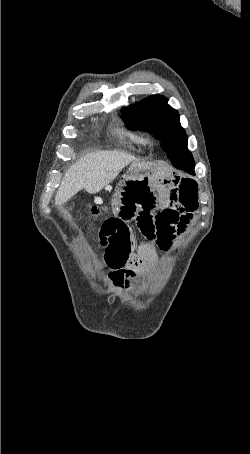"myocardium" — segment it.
<instances>
[{
    "label": "myocardium",
    "instance_id": "obj_1",
    "mask_svg": "<svg viewBox=\"0 0 250 454\" xmlns=\"http://www.w3.org/2000/svg\"><path fill=\"white\" fill-rule=\"evenodd\" d=\"M145 141H146V142H150V138L147 137V138L145 139Z\"/></svg>",
    "mask_w": 250,
    "mask_h": 454
}]
</instances>
